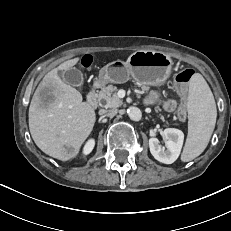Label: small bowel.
Here are the masks:
<instances>
[{
	"mask_svg": "<svg viewBox=\"0 0 231 231\" xmlns=\"http://www.w3.org/2000/svg\"><path fill=\"white\" fill-rule=\"evenodd\" d=\"M151 98L152 99H156L157 96L155 94H152L151 95ZM164 108L167 110V111H174L176 109V101L175 100H168L164 103Z\"/></svg>",
	"mask_w": 231,
	"mask_h": 231,
	"instance_id": "c3829d8e",
	"label": "small bowel"
}]
</instances>
